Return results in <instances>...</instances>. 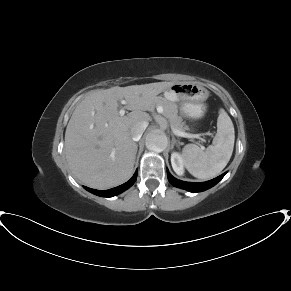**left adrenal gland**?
Wrapping results in <instances>:
<instances>
[{
    "mask_svg": "<svg viewBox=\"0 0 291 291\" xmlns=\"http://www.w3.org/2000/svg\"><path fill=\"white\" fill-rule=\"evenodd\" d=\"M177 145L179 147L178 141L175 139V137H172V146Z\"/></svg>",
    "mask_w": 291,
    "mask_h": 291,
    "instance_id": "left-adrenal-gland-1",
    "label": "left adrenal gland"
}]
</instances>
